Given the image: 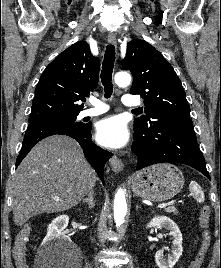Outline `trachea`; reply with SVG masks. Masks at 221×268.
<instances>
[{"label": "trachea", "instance_id": "3493384b", "mask_svg": "<svg viewBox=\"0 0 221 268\" xmlns=\"http://www.w3.org/2000/svg\"><path fill=\"white\" fill-rule=\"evenodd\" d=\"M115 62V48L112 45H108L105 51L104 60L102 63V71H101V82L104 86L105 98H109L113 92V84H112V72L114 68ZM134 111H138V109H134Z\"/></svg>", "mask_w": 221, "mask_h": 268}]
</instances>
